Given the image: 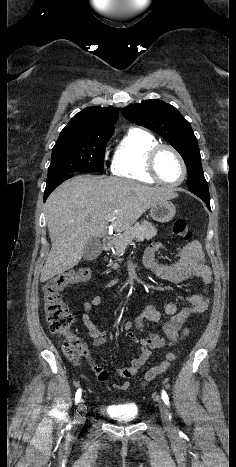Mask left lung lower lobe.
<instances>
[{"instance_id": "0a47b994", "label": "left lung lower lobe", "mask_w": 236, "mask_h": 467, "mask_svg": "<svg viewBox=\"0 0 236 467\" xmlns=\"http://www.w3.org/2000/svg\"><path fill=\"white\" fill-rule=\"evenodd\" d=\"M189 191L201 198L210 210V196L208 187L189 189Z\"/></svg>"}]
</instances>
